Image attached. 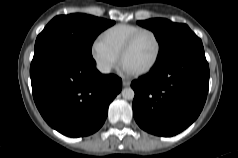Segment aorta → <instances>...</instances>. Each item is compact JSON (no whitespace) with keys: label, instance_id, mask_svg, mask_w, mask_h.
<instances>
[{"label":"aorta","instance_id":"obj_1","mask_svg":"<svg viewBox=\"0 0 238 158\" xmlns=\"http://www.w3.org/2000/svg\"><path fill=\"white\" fill-rule=\"evenodd\" d=\"M134 90L132 88H124L122 90V97L126 100H132L134 98Z\"/></svg>","mask_w":238,"mask_h":158}]
</instances>
